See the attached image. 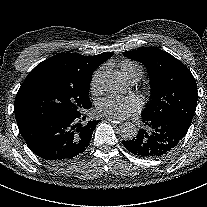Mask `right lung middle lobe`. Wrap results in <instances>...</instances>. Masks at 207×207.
<instances>
[{
    "instance_id": "dd1d6c3e",
    "label": "right lung middle lobe",
    "mask_w": 207,
    "mask_h": 207,
    "mask_svg": "<svg viewBox=\"0 0 207 207\" xmlns=\"http://www.w3.org/2000/svg\"><path fill=\"white\" fill-rule=\"evenodd\" d=\"M88 93L89 86H78L60 79L37 76L25 80L14 102L17 124L76 117L91 108Z\"/></svg>"
}]
</instances>
